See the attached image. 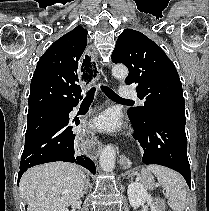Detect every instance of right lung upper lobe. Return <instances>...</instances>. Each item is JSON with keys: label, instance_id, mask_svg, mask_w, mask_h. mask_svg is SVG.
Returning a JSON list of instances; mask_svg holds the SVG:
<instances>
[{"label": "right lung upper lobe", "instance_id": "cb5924a9", "mask_svg": "<svg viewBox=\"0 0 209 211\" xmlns=\"http://www.w3.org/2000/svg\"><path fill=\"white\" fill-rule=\"evenodd\" d=\"M86 45L87 30L77 26L47 49L31 80L28 112L79 103V81H91L97 72L95 63L84 56Z\"/></svg>", "mask_w": 209, "mask_h": 211}]
</instances>
